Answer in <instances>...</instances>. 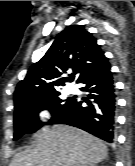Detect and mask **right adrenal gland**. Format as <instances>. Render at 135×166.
Listing matches in <instances>:
<instances>
[{"label":"right adrenal gland","mask_w":135,"mask_h":166,"mask_svg":"<svg viewBox=\"0 0 135 166\" xmlns=\"http://www.w3.org/2000/svg\"><path fill=\"white\" fill-rule=\"evenodd\" d=\"M86 166H95V165H86Z\"/></svg>","instance_id":"obj_1"}]
</instances>
